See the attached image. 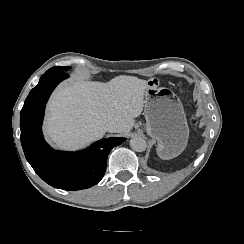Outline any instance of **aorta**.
I'll return each instance as SVG.
<instances>
[{
  "mask_svg": "<svg viewBox=\"0 0 244 244\" xmlns=\"http://www.w3.org/2000/svg\"><path fill=\"white\" fill-rule=\"evenodd\" d=\"M130 147L136 152H143L146 150L147 143L142 137L135 136L130 139Z\"/></svg>",
  "mask_w": 244,
  "mask_h": 244,
  "instance_id": "762f6f07",
  "label": "aorta"
}]
</instances>
